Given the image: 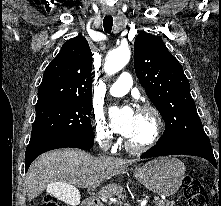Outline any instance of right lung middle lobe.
Returning <instances> with one entry per match:
<instances>
[{"label": "right lung middle lobe", "mask_w": 221, "mask_h": 206, "mask_svg": "<svg viewBox=\"0 0 221 206\" xmlns=\"http://www.w3.org/2000/svg\"><path fill=\"white\" fill-rule=\"evenodd\" d=\"M91 103L50 104L36 107L30 143L80 137L94 138L90 118Z\"/></svg>", "instance_id": "1"}]
</instances>
